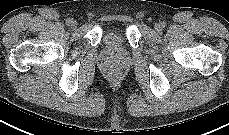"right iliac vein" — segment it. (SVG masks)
<instances>
[{"mask_svg": "<svg viewBox=\"0 0 229 135\" xmlns=\"http://www.w3.org/2000/svg\"><path fill=\"white\" fill-rule=\"evenodd\" d=\"M70 26L72 28H76L77 27V22L72 20Z\"/></svg>", "mask_w": 229, "mask_h": 135, "instance_id": "right-iliac-vein-1", "label": "right iliac vein"}]
</instances>
